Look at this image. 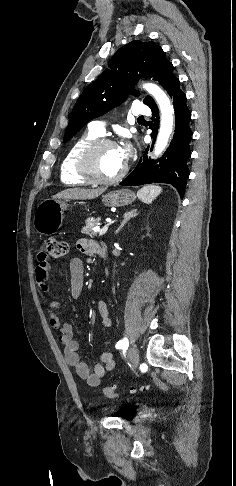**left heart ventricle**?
Listing matches in <instances>:
<instances>
[{
  "instance_id": "obj_1",
  "label": "left heart ventricle",
  "mask_w": 236,
  "mask_h": 486,
  "mask_svg": "<svg viewBox=\"0 0 236 486\" xmlns=\"http://www.w3.org/2000/svg\"><path fill=\"white\" fill-rule=\"evenodd\" d=\"M118 147L104 146L95 156V168L98 174L105 178L116 176L124 167Z\"/></svg>"
}]
</instances>
